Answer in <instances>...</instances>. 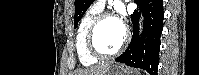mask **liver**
Here are the masks:
<instances>
[{
    "mask_svg": "<svg viewBox=\"0 0 199 75\" xmlns=\"http://www.w3.org/2000/svg\"><path fill=\"white\" fill-rule=\"evenodd\" d=\"M109 67H110L109 64L95 66L84 70H78L76 71L75 75H105Z\"/></svg>",
    "mask_w": 199,
    "mask_h": 75,
    "instance_id": "1",
    "label": "liver"
}]
</instances>
